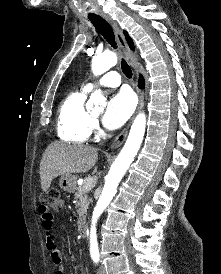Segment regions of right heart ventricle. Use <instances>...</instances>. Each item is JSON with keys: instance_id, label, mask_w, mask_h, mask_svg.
Masks as SVG:
<instances>
[{"instance_id": "1", "label": "right heart ventricle", "mask_w": 221, "mask_h": 274, "mask_svg": "<svg viewBox=\"0 0 221 274\" xmlns=\"http://www.w3.org/2000/svg\"><path fill=\"white\" fill-rule=\"evenodd\" d=\"M86 91H73L61 102L57 112V134L63 141L81 144L92 132L93 118L85 109Z\"/></svg>"}]
</instances>
